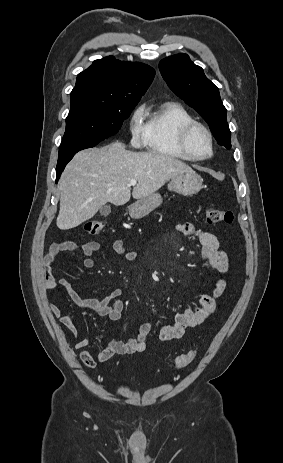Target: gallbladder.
I'll return each instance as SVG.
<instances>
[{"label":"gallbladder","mask_w":283,"mask_h":463,"mask_svg":"<svg viewBox=\"0 0 283 463\" xmlns=\"http://www.w3.org/2000/svg\"><path fill=\"white\" fill-rule=\"evenodd\" d=\"M110 212H111V207H110V205H103V206L100 208V213H101L102 215H108V214H110Z\"/></svg>","instance_id":"bac80fb5"}]
</instances>
